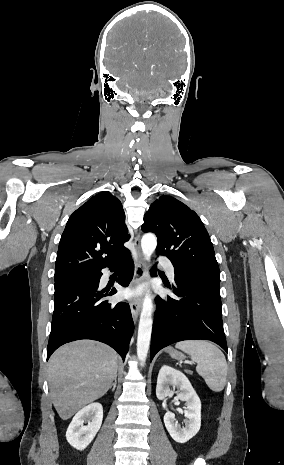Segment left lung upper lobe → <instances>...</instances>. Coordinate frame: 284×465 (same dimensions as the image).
<instances>
[{"label":"left lung upper lobe","instance_id":"left-lung-upper-lobe-1","mask_svg":"<svg viewBox=\"0 0 284 465\" xmlns=\"http://www.w3.org/2000/svg\"><path fill=\"white\" fill-rule=\"evenodd\" d=\"M142 231L157 235L156 253L167 256L175 271L220 283L208 232L198 215L184 203L172 196L159 197L146 212Z\"/></svg>","mask_w":284,"mask_h":465}]
</instances>
